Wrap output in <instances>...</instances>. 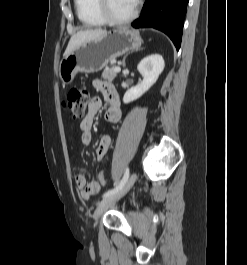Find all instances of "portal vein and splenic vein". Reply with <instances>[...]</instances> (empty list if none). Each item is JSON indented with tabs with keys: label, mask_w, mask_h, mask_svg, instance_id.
<instances>
[{
	"label": "portal vein and splenic vein",
	"mask_w": 247,
	"mask_h": 265,
	"mask_svg": "<svg viewBox=\"0 0 247 265\" xmlns=\"http://www.w3.org/2000/svg\"><path fill=\"white\" fill-rule=\"evenodd\" d=\"M121 71V68L119 66L115 67V72H120Z\"/></svg>",
	"instance_id": "1"
}]
</instances>
